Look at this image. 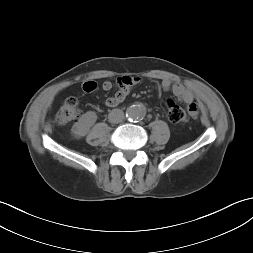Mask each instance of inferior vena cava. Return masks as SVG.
I'll list each match as a JSON object with an SVG mask.
<instances>
[{"label":"inferior vena cava","mask_w":253,"mask_h":253,"mask_svg":"<svg viewBox=\"0 0 253 253\" xmlns=\"http://www.w3.org/2000/svg\"><path fill=\"white\" fill-rule=\"evenodd\" d=\"M108 118L111 123H119L124 119V112L120 109H113Z\"/></svg>","instance_id":"obj_1"}]
</instances>
